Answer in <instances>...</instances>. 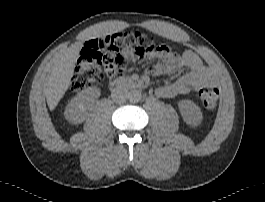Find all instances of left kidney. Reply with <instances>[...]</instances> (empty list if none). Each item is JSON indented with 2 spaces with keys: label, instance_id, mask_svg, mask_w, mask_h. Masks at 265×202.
Here are the masks:
<instances>
[{
  "label": "left kidney",
  "instance_id": "1",
  "mask_svg": "<svg viewBox=\"0 0 265 202\" xmlns=\"http://www.w3.org/2000/svg\"><path fill=\"white\" fill-rule=\"evenodd\" d=\"M178 107L183 120L191 126H198L202 122V112L198 105L191 100H181L178 102Z\"/></svg>",
  "mask_w": 265,
  "mask_h": 202
}]
</instances>
